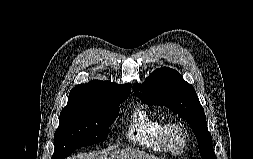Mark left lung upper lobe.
I'll return each mask as SVG.
<instances>
[{
    "instance_id": "left-lung-upper-lobe-1",
    "label": "left lung upper lobe",
    "mask_w": 253,
    "mask_h": 159,
    "mask_svg": "<svg viewBox=\"0 0 253 159\" xmlns=\"http://www.w3.org/2000/svg\"><path fill=\"white\" fill-rule=\"evenodd\" d=\"M133 91L144 104L166 106L185 119L199 142L202 159H217L196 91L177 71L156 69L142 84L134 83Z\"/></svg>"
}]
</instances>
